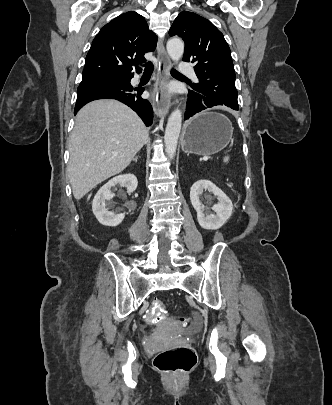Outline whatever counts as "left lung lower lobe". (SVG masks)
Wrapping results in <instances>:
<instances>
[{
  "label": "left lung lower lobe",
  "mask_w": 332,
  "mask_h": 405,
  "mask_svg": "<svg viewBox=\"0 0 332 405\" xmlns=\"http://www.w3.org/2000/svg\"><path fill=\"white\" fill-rule=\"evenodd\" d=\"M189 96V105L190 108L187 109L184 119H189V117L193 116L197 112H200L204 109H206V106L202 100V98L194 96L190 91L188 93Z\"/></svg>",
  "instance_id": "1"
}]
</instances>
